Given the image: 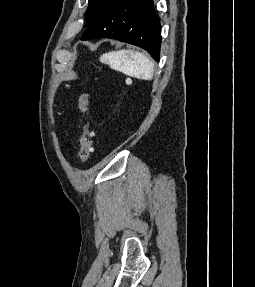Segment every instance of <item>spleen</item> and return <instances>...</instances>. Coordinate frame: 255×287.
Here are the masks:
<instances>
[{"instance_id":"1","label":"spleen","mask_w":255,"mask_h":287,"mask_svg":"<svg viewBox=\"0 0 255 287\" xmlns=\"http://www.w3.org/2000/svg\"><path fill=\"white\" fill-rule=\"evenodd\" d=\"M100 62L108 64L112 70H122L131 78L152 80L154 64L140 52H132V50L108 52V54L101 56Z\"/></svg>"}]
</instances>
